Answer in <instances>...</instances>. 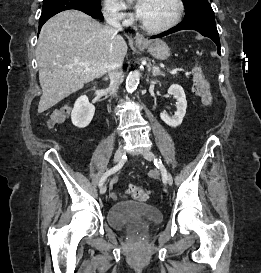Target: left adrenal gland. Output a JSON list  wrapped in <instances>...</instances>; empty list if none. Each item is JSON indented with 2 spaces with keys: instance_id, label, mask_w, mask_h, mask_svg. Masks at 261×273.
Returning a JSON list of instances; mask_svg holds the SVG:
<instances>
[{
  "instance_id": "left-adrenal-gland-1",
  "label": "left adrenal gland",
  "mask_w": 261,
  "mask_h": 273,
  "mask_svg": "<svg viewBox=\"0 0 261 273\" xmlns=\"http://www.w3.org/2000/svg\"><path fill=\"white\" fill-rule=\"evenodd\" d=\"M158 75L164 76V74L160 71L159 67L153 66V67H152V76H153V77H156V76H158Z\"/></svg>"
}]
</instances>
